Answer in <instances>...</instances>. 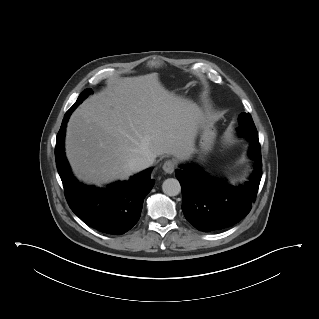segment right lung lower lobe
Returning a JSON list of instances; mask_svg holds the SVG:
<instances>
[{"label": "right lung lower lobe", "instance_id": "98d812e1", "mask_svg": "<svg viewBox=\"0 0 319 319\" xmlns=\"http://www.w3.org/2000/svg\"><path fill=\"white\" fill-rule=\"evenodd\" d=\"M73 105L65 114L57 135L55 158L65 196L72 211L87 225L112 235L124 234L139 220L143 200L154 185L147 169L129 181L116 182L105 189L88 187L72 175L64 153L65 127Z\"/></svg>", "mask_w": 319, "mask_h": 319}]
</instances>
